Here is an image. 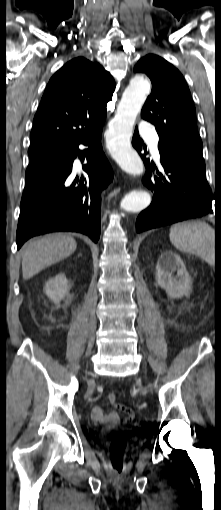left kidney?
Listing matches in <instances>:
<instances>
[{
	"label": "left kidney",
	"instance_id": "1",
	"mask_svg": "<svg viewBox=\"0 0 221 510\" xmlns=\"http://www.w3.org/2000/svg\"><path fill=\"white\" fill-rule=\"evenodd\" d=\"M174 272H177L176 276H173ZM156 281L170 298H181L191 292L189 273L180 256L173 251H166L159 257Z\"/></svg>",
	"mask_w": 221,
	"mask_h": 510
}]
</instances>
